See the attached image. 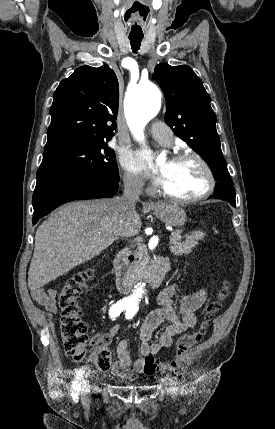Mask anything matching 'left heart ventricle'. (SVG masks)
I'll list each match as a JSON object with an SVG mask.
<instances>
[{
  "instance_id": "obj_1",
  "label": "left heart ventricle",
  "mask_w": 275,
  "mask_h": 429,
  "mask_svg": "<svg viewBox=\"0 0 275 429\" xmlns=\"http://www.w3.org/2000/svg\"><path fill=\"white\" fill-rule=\"evenodd\" d=\"M158 171L163 176L162 187L175 196L192 197L206 189V174L195 160L164 161Z\"/></svg>"
}]
</instances>
